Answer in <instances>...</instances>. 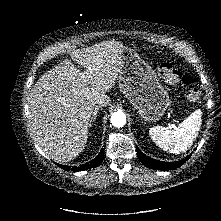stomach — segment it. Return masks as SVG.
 <instances>
[{"mask_svg": "<svg viewBox=\"0 0 221 221\" xmlns=\"http://www.w3.org/2000/svg\"><path fill=\"white\" fill-rule=\"evenodd\" d=\"M121 69L119 87L140 117L158 121L169 106L168 92L159 82L151 66L139 54L122 46L119 50Z\"/></svg>", "mask_w": 221, "mask_h": 221, "instance_id": "1", "label": "stomach"}]
</instances>
